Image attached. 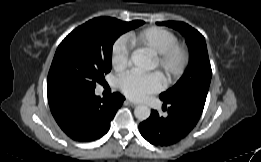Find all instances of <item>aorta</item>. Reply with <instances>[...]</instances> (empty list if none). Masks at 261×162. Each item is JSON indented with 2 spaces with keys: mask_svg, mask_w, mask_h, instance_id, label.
Listing matches in <instances>:
<instances>
[{
  "mask_svg": "<svg viewBox=\"0 0 261 162\" xmlns=\"http://www.w3.org/2000/svg\"><path fill=\"white\" fill-rule=\"evenodd\" d=\"M131 62L139 70H147L150 68V58L147 57L142 50H137L132 54ZM150 113V108L145 105H138L134 109V115L140 121L148 119Z\"/></svg>",
  "mask_w": 261,
  "mask_h": 162,
  "instance_id": "aorta-1",
  "label": "aorta"
}]
</instances>
